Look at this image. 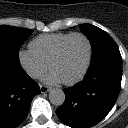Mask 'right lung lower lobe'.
Segmentation results:
<instances>
[{
	"mask_svg": "<svg viewBox=\"0 0 128 128\" xmlns=\"http://www.w3.org/2000/svg\"><path fill=\"white\" fill-rule=\"evenodd\" d=\"M38 84L22 67L0 62V128H15L26 118Z\"/></svg>",
	"mask_w": 128,
	"mask_h": 128,
	"instance_id": "obj_1",
	"label": "right lung lower lobe"
}]
</instances>
